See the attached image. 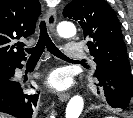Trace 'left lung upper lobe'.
Returning a JSON list of instances; mask_svg holds the SVG:
<instances>
[{
	"label": "left lung upper lobe",
	"instance_id": "5c2ea615",
	"mask_svg": "<svg viewBox=\"0 0 133 118\" xmlns=\"http://www.w3.org/2000/svg\"><path fill=\"white\" fill-rule=\"evenodd\" d=\"M64 17L78 21L96 62L95 76L107 79L133 96V76L119 20L104 0H72Z\"/></svg>",
	"mask_w": 133,
	"mask_h": 118
}]
</instances>
